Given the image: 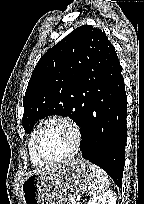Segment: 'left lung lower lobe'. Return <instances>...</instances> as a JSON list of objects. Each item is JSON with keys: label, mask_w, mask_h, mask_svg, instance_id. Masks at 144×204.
Wrapping results in <instances>:
<instances>
[{"label": "left lung lower lobe", "mask_w": 144, "mask_h": 204, "mask_svg": "<svg viewBox=\"0 0 144 204\" xmlns=\"http://www.w3.org/2000/svg\"><path fill=\"white\" fill-rule=\"evenodd\" d=\"M121 72L119 59L106 60L96 68L81 128L83 158L105 170L119 188L127 141V99Z\"/></svg>", "instance_id": "left-lung-lower-lobe-1"}]
</instances>
